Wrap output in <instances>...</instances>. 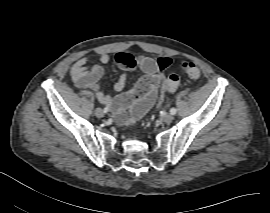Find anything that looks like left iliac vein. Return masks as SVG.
<instances>
[{
  "label": "left iliac vein",
  "instance_id": "1",
  "mask_svg": "<svg viewBox=\"0 0 270 213\" xmlns=\"http://www.w3.org/2000/svg\"><path fill=\"white\" fill-rule=\"evenodd\" d=\"M174 119V116L171 114V113H166L163 117H162V120L165 122V123H170L172 122Z\"/></svg>",
  "mask_w": 270,
  "mask_h": 213
}]
</instances>
